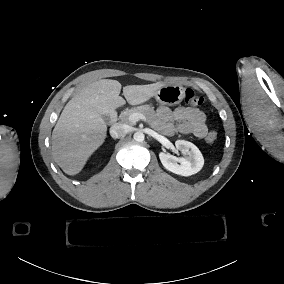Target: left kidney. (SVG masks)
<instances>
[{
  "label": "left kidney",
  "instance_id": "5707ae66",
  "mask_svg": "<svg viewBox=\"0 0 284 284\" xmlns=\"http://www.w3.org/2000/svg\"><path fill=\"white\" fill-rule=\"evenodd\" d=\"M175 148L180 151L182 157L176 162V157L159 151V159L168 171L181 176H190L198 173L204 164V160L199 149L192 143L185 140H177Z\"/></svg>",
  "mask_w": 284,
  "mask_h": 284
}]
</instances>
